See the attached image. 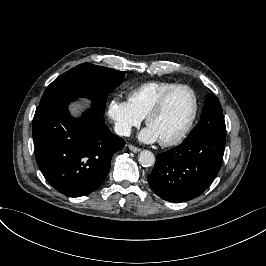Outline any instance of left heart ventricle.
Here are the masks:
<instances>
[{"label": "left heart ventricle", "mask_w": 266, "mask_h": 266, "mask_svg": "<svg viewBox=\"0 0 266 266\" xmlns=\"http://www.w3.org/2000/svg\"><path fill=\"white\" fill-rule=\"evenodd\" d=\"M194 106L192 93L185 88L177 89L170 95L163 110L150 120L149 126L159 139H172L188 124Z\"/></svg>", "instance_id": "b2bd125f"}]
</instances>
